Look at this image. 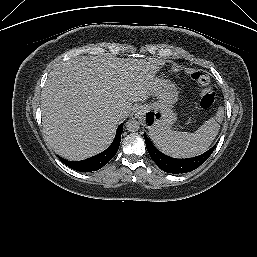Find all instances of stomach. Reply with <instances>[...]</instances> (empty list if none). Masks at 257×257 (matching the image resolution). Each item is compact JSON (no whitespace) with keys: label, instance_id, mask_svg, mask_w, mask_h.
<instances>
[{"label":"stomach","instance_id":"obj_1","mask_svg":"<svg viewBox=\"0 0 257 257\" xmlns=\"http://www.w3.org/2000/svg\"><path fill=\"white\" fill-rule=\"evenodd\" d=\"M152 95L158 101L133 109L134 115L140 116L150 132L169 128L176 121L172 107L178 100V90L170 80L156 77L153 81Z\"/></svg>","mask_w":257,"mask_h":257}]
</instances>
